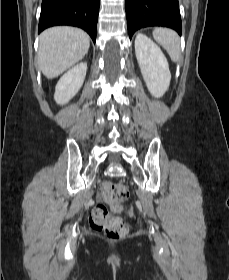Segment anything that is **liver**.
<instances>
[{"label": "liver", "mask_w": 229, "mask_h": 280, "mask_svg": "<svg viewBox=\"0 0 229 280\" xmlns=\"http://www.w3.org/2000/svg\"><path fill=\"white\" fill-rule=\"evenodd\" d=\"M38 64L42 73L52 79L78 63L87 54L90 37L74 27H52L40 34Z\"/></svg>", "instance_id": "1"}]
</instances>
